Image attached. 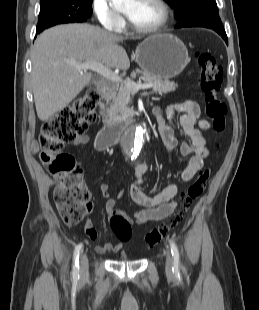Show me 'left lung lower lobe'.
<instances>
[{"instance_id":"0a47b994","label":"left lung lower lobe","mask_w":259,"mask_h":310,"mask_svg":"<svg viewBox=\"0 0 259 310\" xmlns=\"http://www.w3.org/2000/svg\"><path fill=\"white\" fill-rule=\"evenodd\" d=\"M182 27H202V26L189 25V26H182ZM177 28H180V27H177ZM212 30L216 31L219 35H221L222 38L225 40V42L228 44V38H227V35L224 29H212Z\"/></svg>"}]
</instances>
